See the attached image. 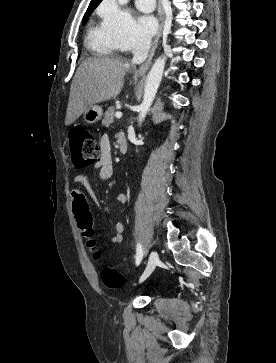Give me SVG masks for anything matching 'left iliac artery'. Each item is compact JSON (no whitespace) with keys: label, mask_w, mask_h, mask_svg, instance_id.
I'll return each mask as SVG.
<instances>
[{"label":"left iliac artery","mask_w":276,"mask_h":363,"mask_svg":"<svg viewBox=\"0 0 276 363\" xmlns=\"http://www.w3.org/2000/svg\"><path fill=\"white\" fill-rule=\"evenodd\" d=\"M143 257V248L140 243L137 244V253H136V265H139Z\"/></svg>","instance_id":"1"}]
</instances>
